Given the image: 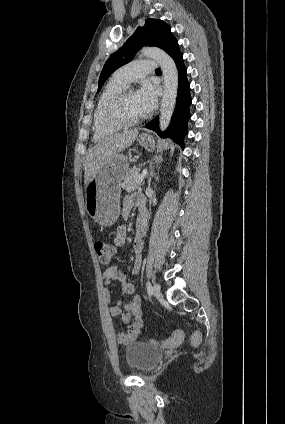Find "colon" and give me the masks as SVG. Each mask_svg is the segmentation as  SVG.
<instances>
[{
	"label": "colon",
	"instance_id": "1",
	"mask_svg": "<svg viewBox=\"0 0 285 424\" xmlns=\"http://www.w3.org/2000/svg\"><path fill=\"white\" fill-rule=\"evenodd\" d=\"M95 251H96L98 260L101 264H108L115 253L114 247L104 241H97L95 243ZM202 337L203 336L201 332H196L193 338L194 342L199 343L202 340ZM183 340H184L183 332L176 331L167 339V344L175 345L182 342Z\"/></svg>",
	"mask_w": 285,
	"mask_h": 424
}]
</instances>
